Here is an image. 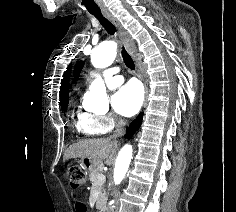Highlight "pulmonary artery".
<instances>
[{"label": "pulmonary artery", "instance_id": "e3ab8cb5", "mask_svg": "<svg viewBox=\"0 0 236 212\" xmlns=\"http://www.w3.org/2000/svg\"><path fill=\"white\" fill-rule=\"evenodd\" d=\"M104 82L108 88H116L123 82L118 68H109L103 71Z\"/></svg>", "mask_w": 236, "mask_h": 212}]
</instances>
